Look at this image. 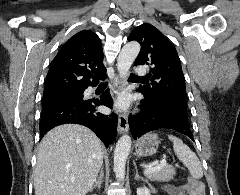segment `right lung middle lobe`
<instances>
[{"label": "right lung middle lobe", "mask_w": 240, "mask_h": 195, "mask_svg": "<svg viewBox=\"0 0 240 195\" xmlns=\"http://www.w3.org/2000/svg\"><path fill=\"white\" fill-rule=\"evenodd\" d=\"M81 93L82 91H67L43 95V104L58 99L79 100Z\"/></svg>", "instance_id": "obj_1"}]
</instances>
